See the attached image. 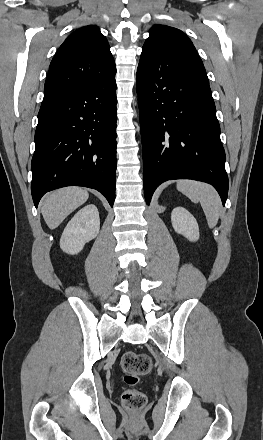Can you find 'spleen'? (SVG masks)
Listing matches in <instances>:
<instances>
[{
  "instance_id": "1",
  "label": "spleen",
  "mask_w": 263,
  "mask_h": 440,
  "mask_svg": "<svg viewBox=\"0 0 263 440\" xmlns=\"http://www.w3.org/2000/svg\"><path fill=\"white\" fill-rule=\"evenodd\" d=\"M176 188L192 202H200L210 228L216 226L221 209V199L217 191L209 184L189 179L177 181Z\"/></svg>"
}]
</instances>
